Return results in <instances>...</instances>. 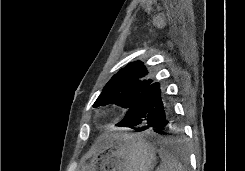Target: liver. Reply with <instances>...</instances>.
Returning a JSON list of instances; mask_svg holds the SVG:
<instances>
[{"label": "liver", "instance_id": "obj_1", "mask_svg": "<svg viewBox=\"0 0 245 171\" xmlns=\"http://www.w3.org/2000/svg\"><path fill=\"white\" fill-rule=\"evenodd\" d=\"M108 137V135H104V136H102L101 137V139H100V141H99V143H101L105 138H107Z\"/></svg>", "mask_w": 245, "mask_h": 171}]
</instances>
